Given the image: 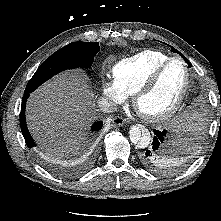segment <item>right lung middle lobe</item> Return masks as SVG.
I'll use <instances>...</instances> for the list:
<instances>
[{
    "label": "right lung middle lobe",
    "mask_w": 221,
    "mask_h": 221,
    "mask_svg": "<svg viewBox=\"0 0 221 221\" xmlns=\"http://www.w3.org/2000/svg\"><path fill=\"white\" fill-rule=\"evenodd\" d=\"M98 43L73 42L48 57L29 80L24 94L33 92L57 73L76 67H88L99 51Z\"/></svg>",
    "instance_id": "obj_1"
}]
</instances>
